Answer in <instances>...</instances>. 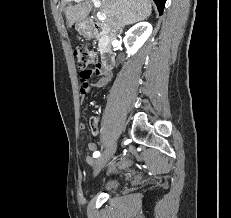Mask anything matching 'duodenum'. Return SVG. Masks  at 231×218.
<instances>
[{
    "mask_svg": "<svg viewBox=\"0 0 231 218\" xmlns=\"http://www.w3.org/2000/svg\"><path fill=\"white\" fill-rule=\"evenodd\" d=\"M84 31L92 37H102L106 43V48L103 54L101 67L105 72H109L115 63V56L111 49V41L113 38L112 31L105 25L93 23L90 21L83 22Z\"/></svg>",
    "mask_w": 231,
    "mask_h": 218,
    "instance_id": "duodenum-1",
    "label": "duodenum"
}]
</instances>
